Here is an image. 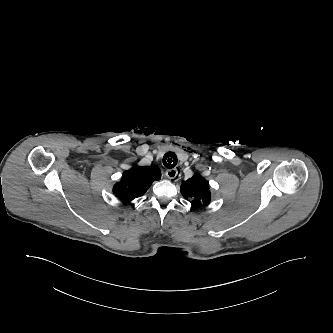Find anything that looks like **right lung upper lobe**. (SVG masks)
Here are the masks:
<instances>
[{"instance_id":"1","label":"right lung upper lobe","mask_w":333,"mask_h":333,"mask_svg":"<svg viewBox=\"0 0 333 333\" xmlns=\"http://www.w3.org/2000/svg\"><path fill=\"white\" fill-rule=\"evenodd\" d=\"M161 178L160 169L157 166H133L123 173L121 181L115 184L113 192L116 196L129 203L142 196L154 180Z\"/></svg>"}]
</instances>
